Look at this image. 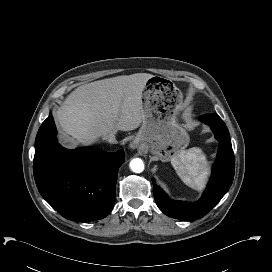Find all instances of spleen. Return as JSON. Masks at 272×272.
Here are the masks:
<instances>
[{
	"label": "spleen",
	"mask_w": 272,
	"mask_h": 272,
	"mask_svg": "<svg viewBox=\"0 0 272 272\" xmlns=\"http://www.w3.org/2000/svg\"><path fill=\"white\" fill-rule=\"evenodd\" d=\"M171 164L186 185L198 191L204 188L209 167L202 149L182 150L171 158Z\"/></svg>",
	"instance_id": "3e777b00"
}]
</instances>
